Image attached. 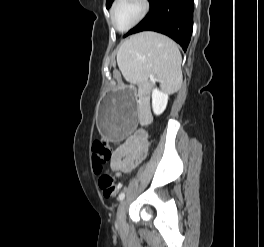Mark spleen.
Returning <instances> with one entry per match:
<instances>
[{
  "instance_id": "3e777b00",
  "label": "spleen",
  "mask_w": 264,
  "mask_h": 247,
  "mask_svg": "<svg viewBox=\"0 0 264 247\" xmlns=\"http://www.w3.org/2000/svg\"><path fill=\"white\" fill-rule=\"evenodd\" d=\"M181 61L175 42L155 32L132 36L117 53L118 67L126 81L146 86L152 75L170 93L181 87Z\"/></svg>"
}]
</instances>
